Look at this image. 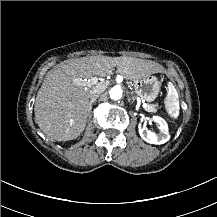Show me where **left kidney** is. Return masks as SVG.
<instances>
[{
	"label": "left kidney",
	"mask_w": 217,
	"mask_h": 217,
	"mask_svg": "<svg viewBox=\"0 0 217 217\" xmlns=\"http://www.w3.org/2000/svg\"><path fill=\"white\" fill-rule=\"evenodd\" d=\"M155 122L159 124V132L157 134L149 131L146 129V125H142L143 118L140 119V122L138 124V133L142 140L149 144H155L160 145L167 142L170 138L168 132H167V125L165 121L159 117H153L152 118Z\"/></svg>",
	"instance_id": "left-kidney-1"
}]
</instances>
